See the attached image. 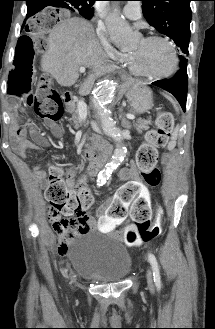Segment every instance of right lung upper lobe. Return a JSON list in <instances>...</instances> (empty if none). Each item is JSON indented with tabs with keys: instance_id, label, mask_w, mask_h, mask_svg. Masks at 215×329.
Here are the masks:
<instances>
[{
	"instance_id": "1",
	"label": "right lung upper lobe",
	"mask_w": 215,
	"mask_h": 329,
	"mask_svg": "<svg viewBox=\"0 0 215 329\" xmlns=\"http://www.w3.org/2000/svg\"><path fill=\"white\" fill-rule=\"evenodd\" d=\"M44 1L43 8L52 6V7H64L67 0H40ZM89 5H93L96 0H81Z\"/></svg>"
}]
</instances>
